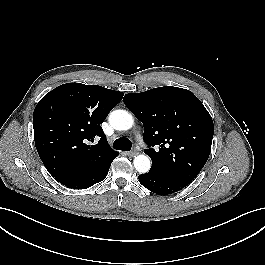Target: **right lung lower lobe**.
<instances>
[{
	"label": "right lung lower lobe",
	"mask_w": 265,
	"mask_h": 265,
	"mask_svg": "<svg viewBox=\"0 0 265 265\" xmlns=\"http://www.w3.org/2000/svg\"><path fill=\"white\" fill-rule=\"evenodd\" d=\"M113 161V160H112ZM111 162L105 165L103 168L88 172L82 173L79 175L71 176L68 178H64L59 180V182L69 188L73 189H86L91 187L92 185L102 181L108 174L109 168L111 166Z\"/></svg>",
	"instance_id": "98d812e1"
}]
</instances>
